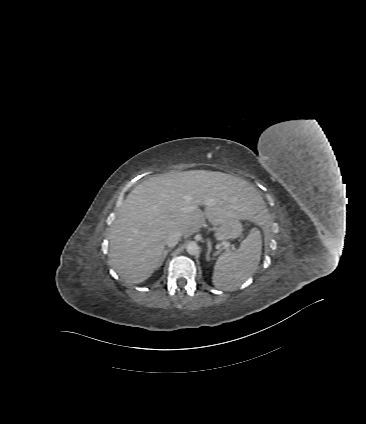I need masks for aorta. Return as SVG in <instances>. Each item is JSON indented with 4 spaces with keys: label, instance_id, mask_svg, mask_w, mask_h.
<instances>
[{
    "label": "aorta",
    "instance_id": "obj_1",
    "mask_svg": "<svg viewBox=\"0 0 366 424\" xmlns=\"http://www.w3.org/2000/svg\"><path fill=\"white\" fill-rule=\"evenodd\" d=\"M186 251L190 255H198L200 252V247L196 242H189L186 246Z\"/></svg>",
    "mask_w": 366,
    "mask_h": 424
}]
</instances>
